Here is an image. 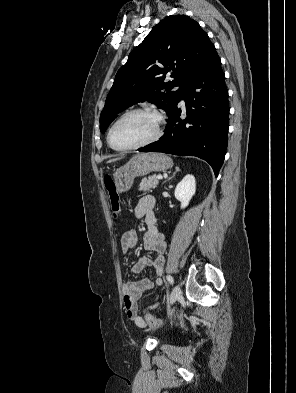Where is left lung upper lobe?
Returning a JSON list of instances; mask_svg holds the SVG:
<instances>
[{"label": "left lung upper lobe", "mask_w": 296, "mask_h": 393, "mask_svg": "<svg viewBox=\"0 0 296 393\" xmlns=\"http://www.w3.org/2000/svg\"><path fill=\"white\" fill-rule=\"evenodd\" d=\"M215 50L198 22L185 15L168 16L129 55L116 74L100 116V130L122 110L148 100L172 114L194 74ZM171 74L173 81H166ZM174 86H180L171 91Z\"/></svg>", "instance_id": "1"}]
</instances>
